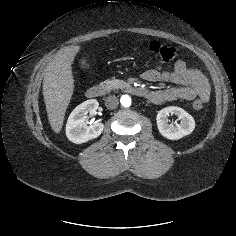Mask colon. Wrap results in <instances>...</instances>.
Listing matches in <instances>:
<instances>
[{
    "label": "colon",
    "instance_id": "1",
    "mask_svg": "<svg viewBox=\"0 0 236 236\" xmlns=\"http://www.w3.org/2000/svg\"><path fill=\"white\" fill-rule=\"evenodd\" d=\"M149 49L153 54L158 56L164 62H171L178 56L175 47L165 45L157 40H153L149 43ZM203 105V101L201 99H197L193 103V108L196 110H201L203 108Z\"/></svg>",
    "mask_w": 236,
    "mask_h": 236
}]
</instances>
